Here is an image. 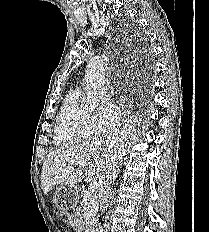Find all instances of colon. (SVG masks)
<instances>
[{"mask_svg":"<svg viewBox=\"0 0 209 232\" xmlns=\"http://www.w3.org/2000/svg\"><path fill=\"white\" fill-rule=\"evenodd\" d=\"M62 219L65 222H70V215L69 214H65L64 212L61 213Z\"/></svg>","mask_w":209,"mask_h":232,"instance_id":"colon-1","label":"colon"}]
</instances>
